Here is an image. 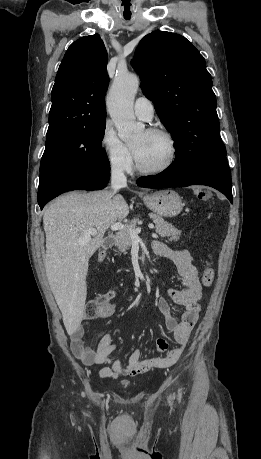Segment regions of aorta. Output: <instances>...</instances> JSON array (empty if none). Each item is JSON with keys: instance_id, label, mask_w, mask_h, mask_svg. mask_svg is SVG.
<instances>
[{"instance_id": "obj_1", "label": "aorta", "mask_w": 261, "mask_h": 459, "mask_svg": "<svg viewBox=\"0 0 261 459\" xmlns=\"http://www.w3.org/2000/svg\"><path fill=\"white\" fill-rule=\"evenodd\" d=\"M139 88V79L134 74H118L107 96L110 117L119 137L128 142L138 137L144 125L135 120L133 103Z\"/></svg>"}]
</instances>
